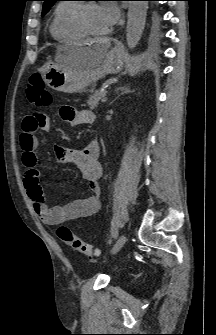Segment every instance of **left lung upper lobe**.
<instances>
[{
	"instance_id": "obj_1",
	"label": "left lung upper lobe",
	"mask_w": 216,
	"mask_h": 335,
	"mask_svg": "<svg viewBox=\"0 0 216 335\" xmlns=\"http://www.w3.org/2000/svg\"><path fill=\"white\" fill-rule=\"evenodd\" d=\"M41 1H44L43 10H42V16H44L50 10V8L54 5V3L59 0H41ZM148 1H157V0H148ZM151 18H152L153 27L157 28L159 24V14L156 10H153L151 14Z\"/></svg>"
}]
</instances>
